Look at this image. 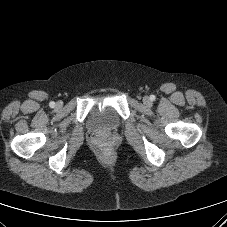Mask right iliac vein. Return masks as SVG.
I'll return each mask as SVG.
<instances>
[{
    "instance_id": "1",
    "label": "right iliac vein",
    "mask_w": 227,
    "mask_h": 227,
    "mask_svg": "<svg viewBox=\"0 0 227 227\" xmlns=\"http://www.w3.org/2000/svg\"><path fill=\"white\" fill-rule=\"evenodd\" d=\"M57 106L59 107L60 106V103H57Z\"/></svg>"
}]
</instances>
